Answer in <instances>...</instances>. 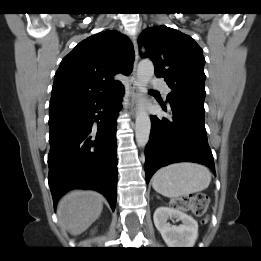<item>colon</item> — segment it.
<instances>
[{"mask_svg": "<svg viewBox=\"0 0 261 261\" xmlns=\"http://www.w3.org/2000/svg\"><path fill=\"white\" fill-rule=\"evenodd\" d=\"M209 198L199 193L191 196H182L174 200V206L181 210H191L196 216H204L208 208Z\"/></svg>", "mask_w": 261, "mask_h": 261, "instance_id": "5ec220e1", "label": "colon"}]
</instances>
